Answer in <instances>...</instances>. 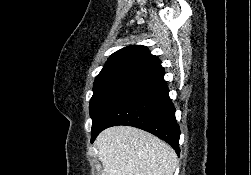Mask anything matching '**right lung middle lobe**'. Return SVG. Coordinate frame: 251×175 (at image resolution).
Wrapping results in <instances>:
<instances>
[{"label":"right lung middle lobe","instance_id":"right-lung-middle-lobe-1","mask_svg":"<svg viewBox=\"0 0 251 175\" xmlns=\"http://www.w3.org/2000/svg\"><path fill=\"white\" fill-rule=\"evenodd\" d=\"M137 81L133 77L117 76L94 82L93 96L89 105L90 116L92 118V134L96 132L99 122L108 107L122 92Z\"/></svg>","mask_w":251,"mask_h":175}]
</instances>
